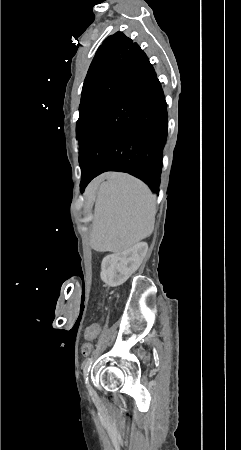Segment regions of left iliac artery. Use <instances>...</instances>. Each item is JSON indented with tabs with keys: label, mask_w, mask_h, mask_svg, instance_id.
<instances>
[{
	"label": "left iliac artery",
	"mask_w": 241,
	"mask_h": 450,
	"mask_svg": "<svg viewBox=\"0 0 241 450\" xmlns=\"http://www.w3.org/2000/svg\"><path fill=\"white\" fill-rule=\"evenodd\" d=\"M91 364H92V357L88 358L87 361L83 365V373H84V379H85L86 384H88V373H89Z\"/></svg>",
	"instance_id": "obj_1"
}]
</instances>
